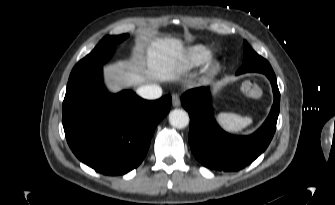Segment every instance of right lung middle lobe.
Listing matches in <instances>:
<instances>
[{
  "mask_svg": "<svg viewBox=\"0 0 335 205\" xmlns=\"http://www.w3.org/2000/svg\"><path fill=\"white\" fill-rule=\"evenodd\" d=\"M127 37L128 34L105 36L90 54H88L75 65L70 74L69 80L86 71L105 64L112 57L115 51V45L121 43Z\"/></svg>",
  "mask_w": 335,
  "mask_h": 205,
  "instance_id": "obj_1",
  "label": "right lung middle lobe"
}]
</instances>
